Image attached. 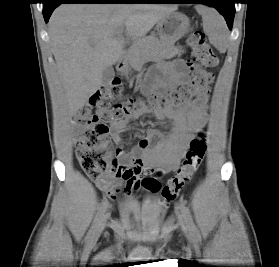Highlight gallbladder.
Instances as JSON below:
<instances>
[{"label": "gallbladder", "instance_id": "bac80fb5", "mask_svg": "<svg viewBox=\"0 0 279 267\" xmlns=\"http://www.w3.org/2000/svg\"><path fill=\"white\" fill-rule=\"evenodd\" d=\"M114 77H115L114 68L111 65L106 66L103 69V73H102V85L105 87H109Z\"/></svg>", "mask_w": 279, "mask_h": 267}]
</instances>
